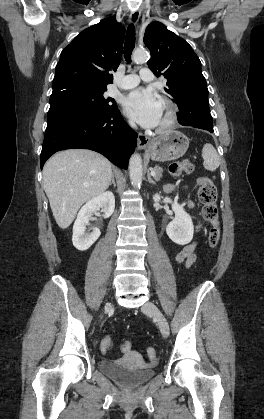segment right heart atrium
<instances>
[{"instance_id":"right-heart-atrium-1","label":"right heart atrium","mask_w":264,"mask_h":419,"mask_svg":"<svg viewBox=\"0 0 264 419\" xmlns=\"http://www.w3.org/2000/svg\"><path fill=\"white\" fill-rule=\"evenodd\" d=\"M128 124H129L130 126H134V124H133V122H132L131 120H128Z\"/></svg>"}]
</instances>
